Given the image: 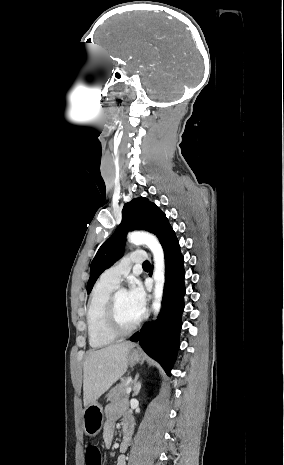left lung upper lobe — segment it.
Masks as SVG:
<instances>
[{
    "label": "left lung upper lobe",
    "instance_id": "obj_1",
    "mask_svg": "<svg viewBox=\"0 0 284 465\" xmlns=\"http://www.w3.org/2000/svg\"><path fill=\"white\" fill-rule=\"evenodd\" d=\"M132 230H146L155 234L162 246L174 232L165 214L149 199L139 197L126 203L122 210L121 224L101 245L92 260L87 293H90L100 274L123 255L125 235Z\"/></svg>",
    "mask_w": 284,
    "mask_h": 465
}]
</instances>
